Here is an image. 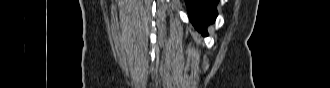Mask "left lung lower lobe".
I'll return each mask as SVG.
<instances>
[{
    "instance_id": "obj_1",
    "label": "left lung lower lobe",
    "mask_w": 330,
    "mask_h": 88,
    "mask_svg": "<svg viewBox=\"0 0 330 88\" xmlns=\"http://www.w3.org/2000/svg\"><path fill=\"white\" fill-rule=\"evenodd\" d=\"M219 0H186L189 18L194 27L207 36V25L213 23L218 13L216 5Z\"/></svg>"
}]
</instances>
